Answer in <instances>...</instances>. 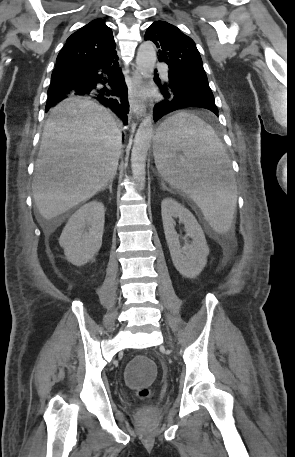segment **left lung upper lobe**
Segmentation results:
<instances>
[{
    "instance_id": "5c2ea615",
    "label": "left lung upper lobe",
    "mask_w": 295,
    "mask_h": 457,
    "mask_svg": "<svg viewBox=\"0 0 295 457\" xmlns=\"http://www.w3.org/2000/svg\"><path fill=\"white\" fill-rule=\"evenodd\" d=\"M144 39L159 48L158 59L168 64L179 84L187 89L211 90L196 44L176 26L155 21L148 27Z\"/></svg>"
}]
</instances>
